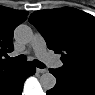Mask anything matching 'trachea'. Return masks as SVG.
<instances>
[{
  "instance_id": "1",
  "label": "trachea",
  "mask_w": 95,
  "mask_h": 95,
  "mask_svg": "<svg viewBox=\"0 0 95 95\" xmlns=\"http://www.w3.org/2000/svg\"><path fill=\"white\" fill-rule=\"evenodd\" d=\"M11 60L16 61V62H25L27 60L25 55H19L17 57L11 58ZM34 64L38 68H44V64L40 62L39 60H34Z\"/></svg>"
}]
</instances>
